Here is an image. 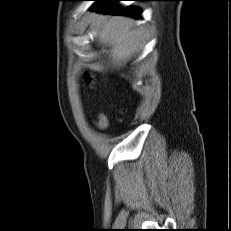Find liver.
I'll list each match as a JSON object with an SVG mask.
<instances>
[{"instance_id":"obj_1","label":"liver","mask_w":231,"mask_h":231,"mask_svg":"<svg viewBox=\"0 0 231 231\" xmlns=\"http://www.w3.org/2000/svg\"><path fill=\"white\" fill-rule=\"evenodd\" d=\"M97 39L109 46V61L113 67H121L143 47L144 29L123 16H100L97 20Z\"/></svg>"}]
</instances>
